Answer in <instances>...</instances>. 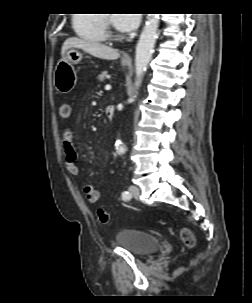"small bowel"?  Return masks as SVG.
<instances>
[{"label": "small bowel", "instance_id": "1", "mask_svg": "<svg viewBox=\"0 0 252 303\" xmlns=\"http://www.w3.org/2000/svg\"><path fill=\"white\" fill-rule=\"evenodd\" d=\"M62 150L64 153V161L67 171L71 175H78L79 168L77 165V153L73 142L71 131H65L62 137ZM83 191L86 194L87 200L90 203H98L101 199V192L95 188L92 183H86L83 186Z\"/></svg>", "mask_w": 252, "mask_h": 303}]
</instances>
